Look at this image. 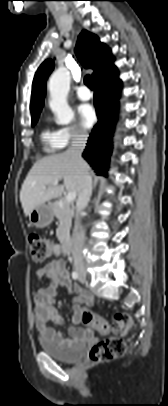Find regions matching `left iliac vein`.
I'll return each instance as SVG.
<instances>
[{
    "mask_svg": "<svg viewBox=\"0 0 168 406\" xmlns=\"http://www.w3.org/2000/svg\"><path fill=\"white\" fill-rule=\"evenodd\" d=\"M79 279H80L81 282H85V280H86L85 277H81V276H80Z\"/></svg>",
    "mask_w": 168,
    "mask_h": 406,
    "instance_id": "left-iliac-vein-1",
    "label": "left iliac vein"
}]
</instances>
